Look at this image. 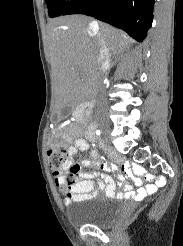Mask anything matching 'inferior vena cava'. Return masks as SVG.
Listing matches in <instances>:
<instances>
[{"label": "inferior vena cava", "instance_id": "1", "mask_svg": "<svg viewBox=\"0 0 183 246\" xmlns=\"http://www.w3.org/2000/svg\"><path fill=\"white\" fill-rule=\"evenodd\" d=\"M91 25L98 26V23L96 21H92ZM101 46L102 48H101V51L98 57L100 75L109 69L110 58H111V55L109 53V50L106 46V42L104 39H101ZM97 107L98 109H105L107 107V99L105 95V90H104V86L100 78L98 81Z\"/></svg>", "mask_w": 183, "mask_h": 246}]
</instances>
